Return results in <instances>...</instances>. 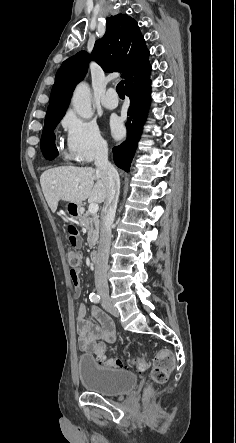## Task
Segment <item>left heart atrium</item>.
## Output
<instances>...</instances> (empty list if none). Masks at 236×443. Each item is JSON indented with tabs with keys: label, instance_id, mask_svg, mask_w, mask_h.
<instances>
[{
	"label": "left heart atrium",
	"instance_id": "obj_1",
	"mask_svg": "<svg viewBox=\"0 0 236 443\" xmlns=\"http://www.w3.org/2000/svg\"><path fill=\"white\" fill-rule=\"evenodd\" d=\"M109 127L114 137H120L123 133V125L118 117H111L109 120Z\"/></svg>",
	"mask_w": 236,
	"mask_h": 443
}]
</instances>
